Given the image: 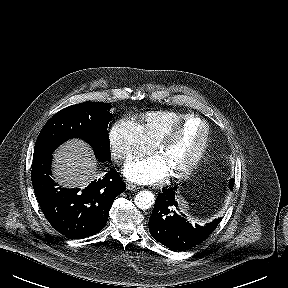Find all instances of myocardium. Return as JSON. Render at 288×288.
Returning a JSON list of instances; mask_svg holds the SVG:
<instances>
[{
  "label": "myocardium",
  "instance_id": "obj_1",
  "mask_svg": "<svg viewBox=\"0 0 288 288\" xmlns=\"http://www.w3.org/2000/svg\"><path fill=\"white\" fill-rule=\"evenodd\" d=\"M191 120H199L203 122V124L206 127V134L204 138V142L202 147L200 148L197 155L194 157V159L180 172L173 173L170 175L172 179L175 180H182L187 178L189 175L192 174V172L198 167V165L203 160L204 156L206 155L210 142H211V128L207 120H205L203 117L196 115V114H190L186 116L185 118L181 119L180 121L173 124L167 131H165L155 142L153 146V151L158 152L162 148L168 146L170 143H172L180 131V129L189 121Z\"/></svg>",
  "mask_w": 288,
  "mask_h": 288
}]
</instances>
